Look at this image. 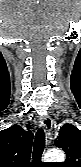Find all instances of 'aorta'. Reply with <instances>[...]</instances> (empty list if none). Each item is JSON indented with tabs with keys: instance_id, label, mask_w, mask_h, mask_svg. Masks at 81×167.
<instances>
[{
	"instance_id": "aorta-1",
	"label": "aorta",
	"mask_w": 81,
	"mask_h": 167,
	"mask_svg": "<svg viewBox=\"0 0 81 167\" xmlns=\"http://www.w3.org/2000/svg\"><path fill=\"white\" fill-rule=\"evenodd\" d=\"M45 162H63L65 154L59 149H51L44 155Z\"/></svg>"
}]
</instances>
